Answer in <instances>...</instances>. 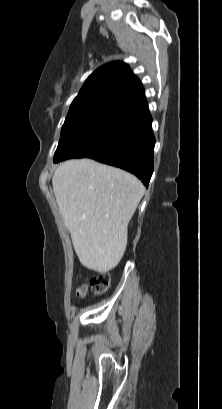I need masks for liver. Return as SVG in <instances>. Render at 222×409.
<instances>
[{"mask_svg":"<svg viewBox=\"0 0 222 409\" xmlns=\"http://www.w3.org/2000/svg\"><path fill=\"white\" fill-rule=\"evenodd\" d=\"M52 186L80 263L99 273L116 267L143 184L124 170L84 158L60 164Z\"/></svg>","mask_w":222,"mask_h":409,"instance_id":"liver-1","label":"liver"}]
</instances>
